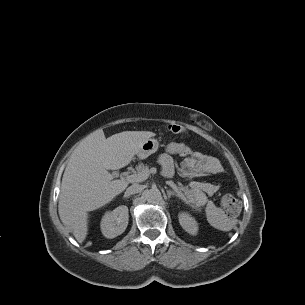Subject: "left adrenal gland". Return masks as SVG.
<instances>
[{"label": "left adrenal gland", "instance_id": "1", "mask_svg": "<svg viewBox=\"0 0 305 305\" xmlns=\"http://www.w3.org/2000/svg\"><path fill=\"white\" fill-rule=\"evenodd\" d=\"M174 189V188H173ZM167 195H168V198H170L171 196H177V197H180V195L178 193H175L174 191L172 190H167ZM182 198V197H181ZM183 199V198H182Z\"/></svg>", "mask_w": 305, "mask_h": 305}]
</instances>
